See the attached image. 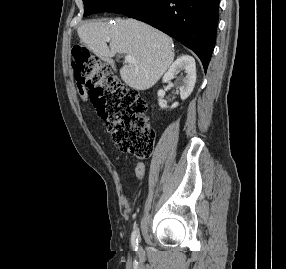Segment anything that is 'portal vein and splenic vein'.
<instances>
[{
  "label": "portal vein and splenic vein",
  "instance_id": "1",
  "mask_svg": "<svg viewBox=\"0 0 286 269\" xmlns=\"http://www.w3.org/2000/svg\"><path fill=\"white\" fill-rule=\"evenodd\" d=\"M106 41L109 42L110 39H107ZM125 61L128 63H135L136 62L135 58L131 55H126Z\"/></svg>",
  "mask_w": 286,
  "mask_h": 269
}]
</instances>
